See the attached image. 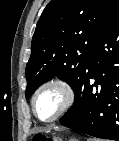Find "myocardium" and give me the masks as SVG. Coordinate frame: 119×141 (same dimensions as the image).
Masks as SVG:
<instances>
[{
  "label": "myocardium",
  "mask_w": 119,
  "mask_h": 141,
  "mask_svg": "<svg viewBox=\"0 0 119 141\" xmlns=\"http://www.w3.org/2000/svg\"><path fill=\"white\" fill-rule=\"evenodd\" d=\"M49 88H56L58 89L62 94V102L57 110V112L51 116L48 119H42L38 116L36 111V101L38 96L45 90ZM75 101V92L72 87V85L63 78H54L51 80L46 81L42 85H40L37 90L34 92L32 100H31V106L34 116L40 120L41 122L50 123L54 122L60 117H62L65 113L69 111V109L73 106Z\"/></svg>",
  "instance_id": "myocardium-1"
}]
</instances>
